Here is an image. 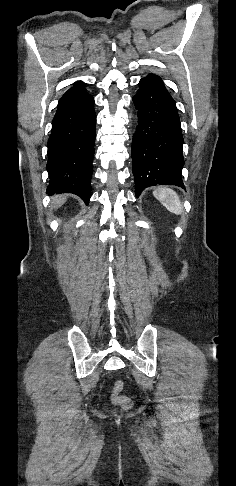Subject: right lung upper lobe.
<instances>
[{"instance_id":"1","label":"right lung upper lobe","mask_w":236,"mask_h":486,"mask_svg":"<svg viewBox=\"0 0 236 486\" xmlns=\"http://www.w3.org/2000/svg\"><path fill=\"white\" fill-rule=\"evenodd\" d=\"M83 82L81 81H78L76 83H74V86L72 88H70L63 96L62 98L60 99V101H66V100H70V99H75V98H78V97H81L83 95H85L87 92H86V89L83 88Z\"/></svg>"}]
</instances>
